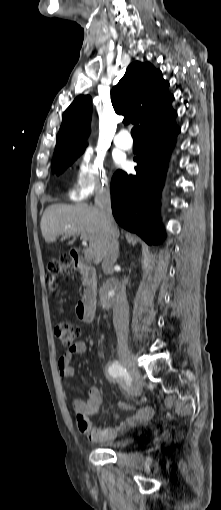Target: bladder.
I'll return each mask as SVG.
<instances>
[{"instance_id": "bladder-1", "label": "bladder", "mask_w": 221, "mask_h": 510, "mask_svg": "<svg viewBox=\"0 0 221 510\" xmlns=\"http://www.w3.org/2000/svg\"><path fill=\"white\" fill-rule=\"evenodd\" d=\"M132 443V439L129 437L119 438V439H113L111 441L105 442L103 445L110 447L111 449H122L127 447Z\"/></svg>"}]
</instances>
